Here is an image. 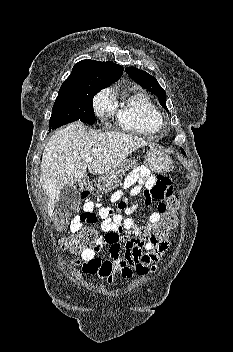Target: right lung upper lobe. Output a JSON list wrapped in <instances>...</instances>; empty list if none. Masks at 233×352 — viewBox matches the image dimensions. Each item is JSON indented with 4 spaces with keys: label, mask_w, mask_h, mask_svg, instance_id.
I'll use <instances>...</instances> for the list:
<instances>
[{
    "label": "right lung upper lobe",
    "mask_w": 233,
    "mask_h": 352,
    "mask_svg": "<svg viewBox=\"0 0 233 352\" xmlns=\"http://www.w3.org/2000/svg\"><path fill=\"white\" fill-rule=\"evenodd\" d=\"M123 73V67L113 62L82 60L74 65L72 73L63 82L59 94L73 93L85 86L108 87Z\"/></svg>",
    "instance_id": "obj_1"
}]
</instances>
